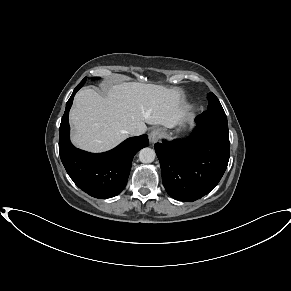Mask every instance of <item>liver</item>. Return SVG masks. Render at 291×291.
Returning a JSON list of instances; mask_svg holds the SVG:
<instances>
[{"instance_id": "1", "label": "liver", "mask_w": 291, "mask_h": 291, "mask_svg": "<svg viewBox=\"0 0 291 291\" xmlns=\"http://www.w3.org/2000/svg\"><path fill=\"white\" fill-rule=\"evenodd\" d=\"M186 116L182 94L160 85L128 82L113 85L106 97L92 89L80 90L70 112L71 140L90 152L110 150L133 129L145 123L173 128Z\"/></svg>"}]
</instances>
